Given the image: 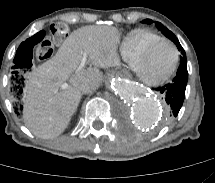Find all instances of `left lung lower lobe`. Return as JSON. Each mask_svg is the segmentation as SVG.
Wrapping results in <instances>:
<instances>
[{
    "instance_id": "left-lung-lower-lobe-1",
    "label": "left lung lower lobe",
    "mask_w": 215,
    "mask_h": 183,
    "mask_svg": "<svg viewBox=\"0 0 215 183\" xmlns=\"http://www.w3.org/2000/svg\"><path fill=\"white\" fill-rule=\"evenodd\" d=\"M188 81L187 60L182 59L175 78L171 83L156 88L167 103V119L176 117L185 98V89Z\"/></svg>"
}]
</instances>
